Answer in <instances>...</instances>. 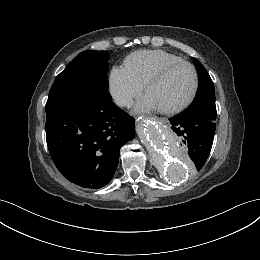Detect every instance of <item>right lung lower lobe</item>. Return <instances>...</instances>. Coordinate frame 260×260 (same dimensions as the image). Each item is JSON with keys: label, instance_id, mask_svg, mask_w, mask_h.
Here are the masks:
<instances>
[{"label": "right lung lower lobe", "instance_id": "98d812e1", "mask_svg": "<svg viewBox=\"0 0 260 260\" xmlns=\"http://www.w3.org/2000/svg\"><path fill=\"white\" fill-rule=\"evenodd\" d=\"M45 109L47 146L61 174L84 188L108 184L121 146L134 137V118L112 102L108 91Z\"/></svg>", "mask_w": 260, "mask_h": 260}]
</instances>
